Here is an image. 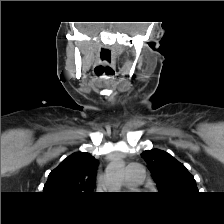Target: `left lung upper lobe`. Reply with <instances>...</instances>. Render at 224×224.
Returning <instances> with one entry per match:
<instances>
[{"label": "left lung upper lobe", "instance_id": "5c2ea615", "mask_svg": "<svg viewBox=\"0 0 224 224\" xmlns=\"http://www.w3.org/2000/svg\"><path fill=\"white\" fill-rule=\"evenodd\" d=\"M141 156L149 166L159 193L173 197L198 193L194 177L169 153L152 149Z\"/></svg>", "mask_w": 224, "mask_h": 224}]
</instances>
